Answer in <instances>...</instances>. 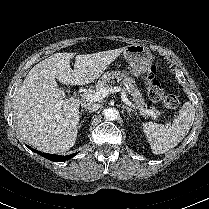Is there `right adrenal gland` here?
Segmentation results:
<instances>
[{
  "instance_id": "right-adrenal-gland-1",
  "label": "right adrenal gland",
  "mask_w": 209,
  "mask_h": 209,
  "mask_svg": "<svg viewBox=\"0 0 209 209\" xmlns=\"http://www.w3.org/2000/svg\"><path fill=\"white\" fill-rule=\"evenodd\" d=\"M82 111H83V110H81V112H80V116H79V118H81ZM83 122H84V120H82V121H81V123H83ZM80 127H81V124L79 125V128H80Z\"/></svg>"
}]
</instances>
